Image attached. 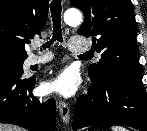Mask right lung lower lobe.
Masks as SVG:
<instances>
[{"mask_svg":"<svg viewBox=\"0 0 147 131\" xmlns=\"http://www.w3.org/2000/svg\"><path fill=\"white\" fill-rule=\"evenodd\" d=\"M35 78L0 77V123L21 126L29 131H54V99L40 101L32 95Z\"/></svg>","mask_w":147,"mask_h":131,"instance_id":"obj_1","label":"right lung lower lobe"}]
</instances>
